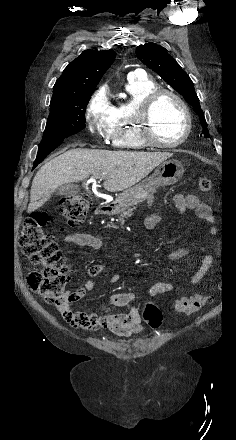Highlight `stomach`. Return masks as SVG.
Wrapping results in <instances>:
<instances>
[{"instance_id": "0dacf381", "label": "stomach", "mask_w": 236, "mask_h": 440, "mask_svg": "<svg viewBox=\"0 0 236 440\" xmlns=\"http://www.w3.org/2000/svg\"><path fill=\"white\" fill-rule=\"evenodd\" d=\"M183 173V165L178 160L168 159L163 161L149 178L117 194L113 211L123 212L131 206L139 204L150 198L157 188L175 184L181 179Z\"/></svg>"}]
</instances>
